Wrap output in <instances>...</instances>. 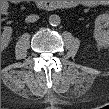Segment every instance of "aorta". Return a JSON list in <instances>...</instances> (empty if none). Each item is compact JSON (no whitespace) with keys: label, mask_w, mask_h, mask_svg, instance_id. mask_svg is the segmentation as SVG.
I'll list each match as a JSON object with an SVG mask.
<instances>
[{"label":"aorta","mask_w":109,"mask_h":109,"mask_svg":"<svg viewBox=\"0 0 109 109\" xmlns=\"http://www.w3.org/2000/svg\"><path fill=\"white\" fill-rule=\"evenodd\" d=\"M48 22L51 26H58L61 23V19L58 15L52 14L49 16Z\"/></svg>","instance_id":"1"}]
</instances>
